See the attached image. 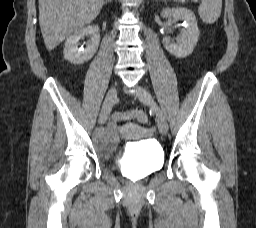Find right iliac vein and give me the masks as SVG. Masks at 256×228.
Instances as JSON below:
<instances>
[{"label":"right iliac vein","mask_w":256,"mask_h":228,"mask_svg":"<svg viewBox=\"0 0 256 228\" xmlns=\"http://www.w3.org/2000/svg\"><path fill=\"white\" fill-rule=\"evenodd\" d=\"M116 98H117V89L115 86H113L109 89V91L106 94V97L99 115L100 124H104L107 121Z\"/></svg>","instance_id":"63e3f726"}]
</instances>
